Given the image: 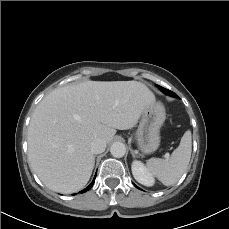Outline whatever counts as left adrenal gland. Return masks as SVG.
Returning <instances> with one entry per match:
<instances>
[{"mask_svg": "<svg viewBox=\"0 0 229 229\" xmlns=\"http://www.w3.org/2000/svg\"><path fill=\"white\" fill-rule=\"evenodd\" d=\"M131 154H132L133 158H135V157H136V155H135V153H134V151H133V150H131Z\"/></svg>", "mask_w": 229, "mask_h": 229, "instance_id": "1", "label": "left adrenal gland"}]
</instances>
